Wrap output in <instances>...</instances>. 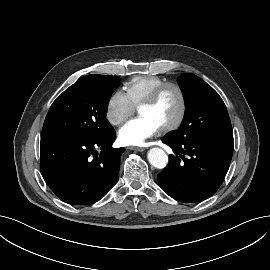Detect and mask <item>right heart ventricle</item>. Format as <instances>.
<instances>
[{
  "mask_svg": "<svg viewBox=\"0 0 270 270\" xmlns=\"http://www.w3.org/2000/svg\"><path fill=\"white\" fill-rule=\"evenodd\" d=\"M164 82L166 80L159 76H136L126 83L125 89L132 103L139 106L157 86Z\"/></svg>",
  "mask_w": 270,
  "mask_h": 270,
  "instance_id": "1",
  "label": "right heart ventricle"
}]
</instances>
